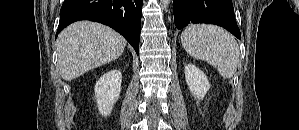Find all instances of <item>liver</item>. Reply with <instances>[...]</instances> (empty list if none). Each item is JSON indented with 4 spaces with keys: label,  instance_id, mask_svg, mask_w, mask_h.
<instances>
[{
    "label": "liver",
    "instance_id": "liver-1",
    "mask_svg": "<svg viewBox=\"0 0 299 130\" xmlns=\"http://www.w3.org/2000/svg\"><path fill=\"white\" fill-rule=\"evenodd\" d=\"M126 43L108 26L89 21L73 23L57 39L59 73L64 80L71 81L117 59Z\"/></svg>",
    "mask_w": 299,
    "mask_h": 130
}]
</instances>
